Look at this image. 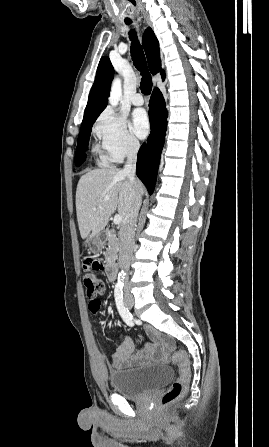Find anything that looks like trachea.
Here are the masks:
<instances>
[{
  "label": "trachea",
  "mask_w": 269,
  "mask_h": 447,
  "mask_svg": "<svg viewBox=\"0 0 269 447\" xmlns=\"http://www.w3.org/2000/svg\"><path fill=\"white\" fill-rule=\"evenodd\" d=\"M131 22H126V24H130ZM130 37L133 40L131 45V56L134 62L135 67L141 72L143 78L141 80L140 89L144 95H149L152 90V80L150 74L148 72L147 63L145 60V55L141 48V45L136 40V36L134 32H130Z\"/></svg>",
  "instance_id": "trachea-1"
}]
</instances>
